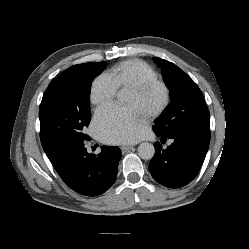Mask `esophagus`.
<instances>
[{
	"mask_svg": "<svg viewBox=\"0 0 249 249\" xmlns=\"http://www.w3.org/2000/svg\"><path fill=\"white\" fill-rule=\"evenodd\" d=\"M132 148H133V147H132V146H129V145H124V146H121V147H120L122 153L129 152Z\"/></svg>",
	"mask_w": 249,
	"mask_h": 249,
	"instance_id": "obj_1",
	"label": "esophagus"
}]
</instances>
